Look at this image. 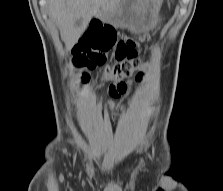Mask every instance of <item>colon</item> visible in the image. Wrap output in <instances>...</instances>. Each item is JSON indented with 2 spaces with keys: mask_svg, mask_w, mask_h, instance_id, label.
I'll list each match as a JSON object with an SVG mask.
<instances>
[{
  "mask_svg": "<svg viewBox=\"0 0 223 191\" xmlns=\"http://www.w3.org/2000/svg\"><path fill=\"white\" fill-rule=\"evenodd\" d=\"M113 50L116 63L106 66L103 77L121 83L137 72V79L148 68V63L138 58L136 44L132 39L117 38L115 30L109 25H94L74 46L72 63L86 70L94 69L105 63V52ZM84 81L87 73L83 74ZM83 90V88H82Z\"/></svg>",
  "mask_w": 223,
  "mask_h": 191,
  "instance_id": "obj_1",
  "label": "colon"
}]
</instances>
